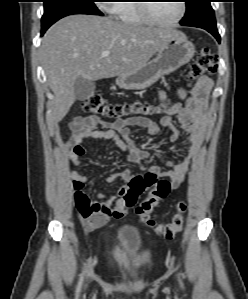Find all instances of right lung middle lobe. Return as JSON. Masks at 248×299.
Returning a JSON list of instances; mask_svg holds the SVG:
<instances>
[{
    "label": "right lung middle lobe",
    "mask_w": 248,
    "mask_h": 299,
    "mask_svg": "<svg viewBox=\"0 0 248 299\" xmlns=\"http://www.w3.org/2000/svg\"><path fill=\"white\" fill-rule=\"evenodd\" d=\"M71 14L103 15L94 0H44L42 30H47L54 22Z\"/></svg>",
    "instance_id": "1"
}]
</instances>
